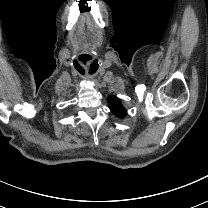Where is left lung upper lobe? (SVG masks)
Returning <instances> with one entry per match:
<instances>
[{"label":"left lung upper lobe","instance_id":"obj_1","mask_svg":"<svg viewBox=\"0 0 208 208\" xmlns=\"http://www.w3.org/2000/svg\"><path fill=\"white\" fill-rule=\"evenodd\" d=\"M108 104L111 112L118 116V117H124L126 115V109L122 106V103L120 99H118L115 96L108 97Z\"/></svg>","mask_w":208,"mask_h":208}]
</instances>
